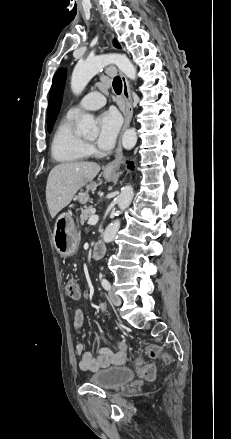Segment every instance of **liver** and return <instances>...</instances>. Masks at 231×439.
<instances>
[{"label":"liver","mask_w":231,"mask_h":439,"mask_svg":"<svg viewBox=\"0 0 231 439\" xmlns=\"http://www.w3.org/2000/svg\"><path fill=\"white\" fill-rule=\"evenodd\" d=\"M101 167L94 162L62 163L49 173L46 185V201L54 218L73 199L79 189L91 182Z\"/></svg>","instance_id":"obj_1"}]
</instances>
